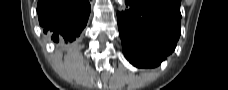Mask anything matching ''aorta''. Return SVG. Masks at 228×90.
<instances>
[{
    "label": "aorta",
    "instance_id": "1",
    "mask_svg": "<svg viewBox=\"0 0 228 90\" xmlns=\"http://www.w3.org/2000/svg\"><path fill=\"white\" fill-rule=\"evenodd\" d=\"M116 2H118L121 6L122 9H125V0H116Z\"/></svg>",
    "mask_w": 228,
    "mask_h": 90
}]
</instances>
